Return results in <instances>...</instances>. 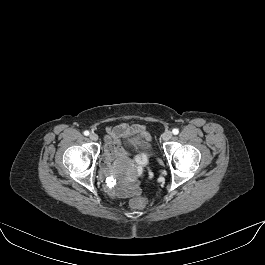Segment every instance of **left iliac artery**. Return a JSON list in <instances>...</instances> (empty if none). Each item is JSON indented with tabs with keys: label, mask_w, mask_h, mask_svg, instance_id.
<instances>
[{
	"label": "left iliac artery",
	"mask_w": 265,
	"mask_h": 265,
	"mask_svg": "<svg viewBox=\"0 0 265 265\" xmlns=\"http://www.w3.org/2000/svg\"><path fill=\"white\" fill-rule=\"evenodd\" d=\"M172 133H173L174 135H177V134L179 133V130H178L177 128H174V129L172 130Z\"/></svg>",
	"instance_id": "obj_1"
}]
</instances>
